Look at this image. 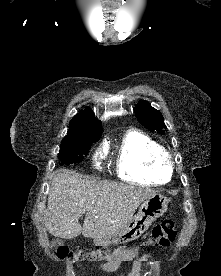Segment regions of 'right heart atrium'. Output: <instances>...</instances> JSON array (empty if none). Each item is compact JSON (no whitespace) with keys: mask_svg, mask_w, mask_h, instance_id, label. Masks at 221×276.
I'll list each match as a JSON object with an SVG mask.
<instances>
[{"mask_svg":"<svg viewBox=\"0 0 221 276\" xmlns=\"http://www.w3.org/2000/svg\"><path fill=\"white\" fill-rule=\"evenodd\" d=\"M101 157H102V152H98V153L95 155V161H98Z\"/></svg>","mask_w":221,"mask_h":276,"instance_id":"obj_1","label":"right heart atrium"}]
</instances>
